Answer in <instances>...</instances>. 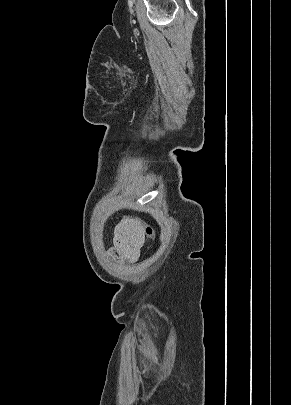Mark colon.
<instances>
[{
	"mask_svg": "<svg viewBox=\"0 0 291 405\" xmlns=\"http://www.w3.org/2000/svg\"><path fill=\"white\" fill-rule=\"evenodd\" d=\"M144 232H145V235H146L148 238H152V237L154 236V230H153L152 227H150V226H146V227L144 228Z\"/></svg>",
	"mask_w": 291,
	"mask_h": 405,
	"instance_id": "obj_1",
	"label": "colon"
}]
</instances>
